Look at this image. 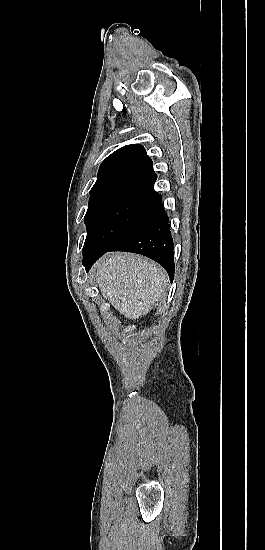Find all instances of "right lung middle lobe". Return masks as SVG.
<instances>
[{"label": "right lung middle lobe", "instance_id": "obj_1", "mask_svg": "<svg viewBox=\"0 0 265 550\" xmlns=\"http://www.w3.org/2000/svg\"><path fill=\"white\" fill-rule=\"evenodd\" d=\"M158 195L153 187L123 188L90 198L84 218L87 237L83 256L111 247L135 225Z\"/></svg>", "mask_w": 265, "mask_h": 550}]
</instances>
